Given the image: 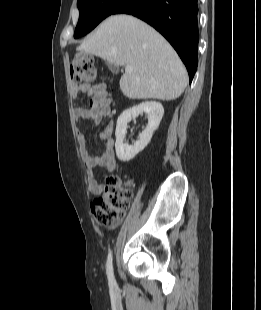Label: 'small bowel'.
<instances>
[{
	"instance_id": "c3829d8e",
	"label": "small bowel",
	"mask_w": 261,
	"mask_h": 310,
	"mask_svg": "<svg viewBox=\"0 0 261 310\" xmlns=\"http://www.w3.org/2000/svg\"><path fill=\"white\" fill-rule=\"evenodd\" d=\"M72 91L74 95L80 93L85 94L89 100V106L87 108H75L74 115L78 121L88 120L91 121L93 125L98 126L106 117L111 115V100L104 83L93 86L76 85L73 87ZM112 134L113 123L109 122L99 133V138L104 141V145L102 151L98 155H93L89 152L84 134L81 132H78L77 134L82 158L88 174V187L91 193L96 195L101 194L104 191V186L96 178L94 169L101 167L107 172H113L117 166Z\"/></svg>"
}]
</instances>
